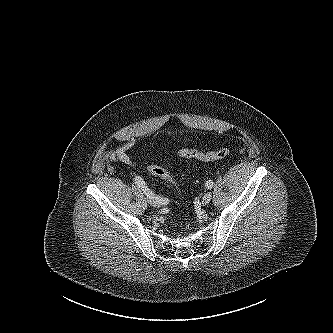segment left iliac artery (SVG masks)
<instances>
[{"instance_id": "left-iliac-artery-1", "label": "left iliac artery", "mask_w": 333, "mask_h": 333, "mask_svg": "<svg viewBox=\"0 0 333 333\" xmlns=\"http://www.w3.org/2000/svg\"><path fill=\"white\" fill-rule=\"evenodd\" d=\"M205 186L208 188V189H211L213 187V181L212 180H209L206 182Z\"/></svg>"}]
</instances>
